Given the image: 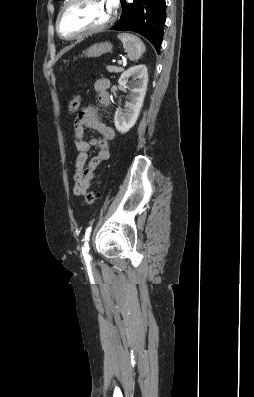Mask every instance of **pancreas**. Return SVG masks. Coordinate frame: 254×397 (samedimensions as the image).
<instances>
[{
  "instance_id": "pancreas-1",
  "label": "pancreas",
  "mask_w": 254,
  "mask_h": 397,
  "mask_svg": "<svg viewBox=\"0 0 254 397\" xmlns=\"http://www.w3.org/2000/svg\"><path fill=\"white\" fill-rule=\"evenodd\" d=\"M107 68V70L110 72V73H120V72H123L124 71V69L122 68V67H117V66H107L106 67Z\"/></svg>"
}]
</instances>
